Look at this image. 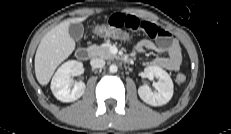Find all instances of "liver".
<instances>
[{"label": "liver", "mask_w": 231, "mask_h": 134, "mask_svg": "<svg viewBox=\"0 0 231 134\" xmlns=\"http://www.w3.org/2000/svg\"><path fill=\"white\" fill-rule=\"evenodd\" d=\"M87 17L65 20L48 31L40 41L35 54V74L41 85H47L56 68L75 49V41L69 34L71 23H80Z\"/></svg>", "instance_id": "6515ba94"}]
</instances>
